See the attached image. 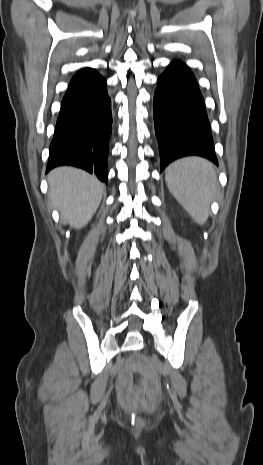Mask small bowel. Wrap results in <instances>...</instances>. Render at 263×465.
I'll return each mask as SVG.
<instances>
[{
	"instance_id": "c3829d8e",
	"label": "small bowel",
	"mask_w": 263,
	"mask_h": 465,
	"mask_svg": "<svg viewBox=\"0 0 263 465\" xmlns=\"http://www.w3.org/2000/svg\"><path fill=\"white\" fill-rule=\"evenodd\" d=\"M136 369L137 364L135 362H131L120 375L118 394L124 403H130L132 401V372Z\"/></svg>"
}]
</instances>
